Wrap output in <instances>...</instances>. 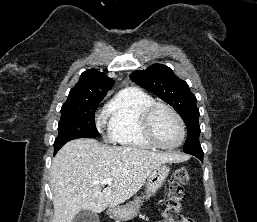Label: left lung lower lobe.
I'll return each instance as SVG.
<instances>
[{"label": "left lung lower lobe", "instance_id": "left-lung-lower-lobe-1", "mask_svg": "<svg viewBox=\"0 0 257 222\" xmlns=\"http://www.w3.org/2000/svg\"><path fill=\"white\" fill-rule=\"evenodd\" d=\"M194 156H196L197 158H199L203 162V155H194Z\"/></svg>", "mask_w": 257, "mask_h": 222}]
</instances>
